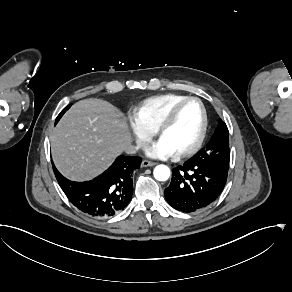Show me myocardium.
I'll return each mask as SVG.
<instances>
[{"instance_id":"1","label":"myocardium","mask_w":292,"mask_h":292,"mask_svg":"<svg viewBox=\"0 0 292 292\" xmlns=\"http://www.w3.org/2000/svg\"><path fill=\"white\" fill-rule=\"evenodd\" d=\"M196 102L199 105L200 113H201V119H200V125L197 132V135L194 139V141L186 148L177 150L176 152L179 155L185 156L190 155L198 150V148L201 146L205 133H206V127H207V113L206 109L204 107V104L199 98L196 97H185L176 103H174L164 114L162 117L158 127H157V134L162 137L164 131L169 126V124L173 121L175 118L177 112L179 109L187 102Z\"/></svg>"}]
</instances>
